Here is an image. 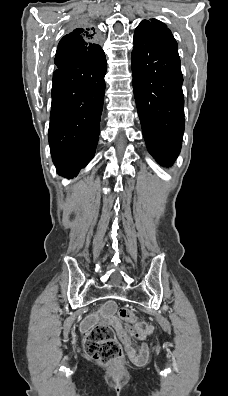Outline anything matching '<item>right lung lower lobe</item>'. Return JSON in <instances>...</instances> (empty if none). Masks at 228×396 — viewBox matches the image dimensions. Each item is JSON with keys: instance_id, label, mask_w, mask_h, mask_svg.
I'll list each match as a JSON object with an SVG mask.
<instances>
[{"instance_id": "1", "label": "right lung lower lobe", "mask_w": 228, "mask_h": 396, "mask_svg": "<svg viewBox=\"0 0 228 396\" xmlns=\"http://www.w3.org/2000/svg\"><path fill=\"white\" fill-rule=\"evenodd\" d=\"M48 140L58 174L73 178L93 158L100 134L107 60L99 45L58 47Z\"/></svg>"}]
</instances>
